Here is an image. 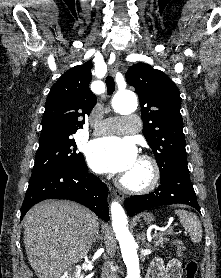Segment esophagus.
I'll use <instances>...</instances> for the list:
<instances>
[{
  "label": "esophagus",
  "mask_w": 221,
  "mask_h": 278,
  "mask_svg": "<svg viewBox=\"0 0 221 278\" xmlns=\"http://www.w3.org/2000/svg\"><path fill=\"white\" fill-rule=\"evenodd\" d=\"M118 68H119V56L116 55V58H115L113 64L111 65V67H110V73L112 75H114L117 72ZM114 196L118 201L123 202L124 194H122L119 191H114Z\"/></svg>",
  "instance_id": "34e87169"
}]
</instances>
